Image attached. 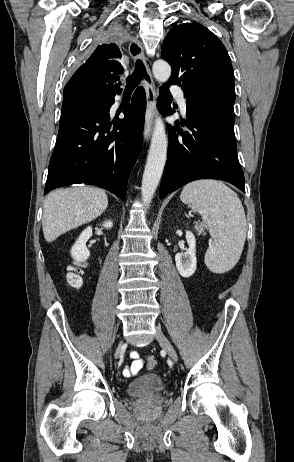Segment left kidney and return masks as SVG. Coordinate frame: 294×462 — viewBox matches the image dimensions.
<instances>
[{
	"label": "left kidney",
	"mask_w": 294,
	"mask_h": 462,
	"mask_svg": "<svg viewBox=\"0 0 294 462\" xmlns=\"http://www.w3.org/2000/svg\"><path fill=\"white\" fill-rule=\"evenodd\" d=\"M186 240L189 248L184 253H177L175 262L180 275L188 278L195 273L197 268L196 239L192 232L187 231Z\"/></svg>",
	"instance_id": "obj_1"
}]
</instances>
